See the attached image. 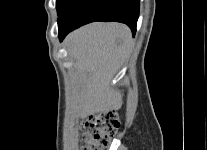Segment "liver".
Returning <instances> with one entry per match:
<instances>
[{"label": "liver", "instance_id": "obj_1", "mask_svg": "<svg viewBox=\"0 0 207 150\" xmlns=\"http://www.w3.org/2000/svg\"><path fill=\"white\" fill-rule=\"evenodd\" d=\"M65 45L75 61L69 104L76 117L117 110L123 94L111 88L131 46L130 29L120 23L96 22L70 33Z\"/></svg>", "mask_w": 207, "mask_h": 150}]
</instances>
